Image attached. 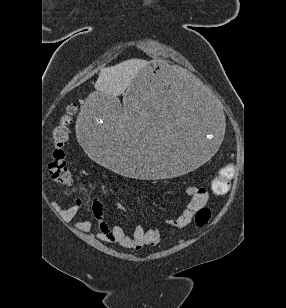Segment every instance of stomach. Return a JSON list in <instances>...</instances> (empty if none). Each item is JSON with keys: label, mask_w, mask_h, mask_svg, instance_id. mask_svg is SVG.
Masks as SVG:
<instances>
[{"label": "stomach", "mask_w": 286, "mask_h": 308, "mask_svg": "<svg viewBox=\"0 0 286 308\" xmlns=\"http://www.w3.org/2000/svg\"><path fill=\"white\" fill-rule=\"evenodd\" d=\"M219 100L165 60H144L124 103L91 89L77 109L78 142L86 156L131 182H166L203 168L224 144Z\"/></svg>", "instance_id": "0dacf381"}]
</instances>
